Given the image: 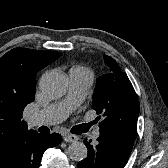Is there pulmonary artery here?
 Returning <instances> with one entry per match:
<instances>
[{
	"mask_svg": "<svg viewBox=\"0 0 168 168\" xmlns=\"http://www.w3.org/2000/svg\"><path fill=\"white\" fill-rule=\"evenodd\" d=\"M93 74L83 69L69 71V88L62 100L55 102L31 116L29 125L32 127L57 124L65 120L68 115L84 100L91 84ZM100 131L93 132V139H97Z\"/></svg>",
	"mask_w": 168,
	"mask_h": 168,
	"instance_id": "pulmonary-artery-1",
	"label": "pulmonary artery"
}]
</instances>
